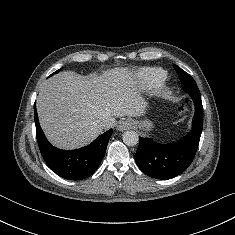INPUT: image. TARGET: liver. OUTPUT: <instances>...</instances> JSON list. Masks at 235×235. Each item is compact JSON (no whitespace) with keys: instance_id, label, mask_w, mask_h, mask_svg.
Returning a JSON list of instances; mask_svg holds the SVG:
<instances>
[{"instance_id":"liver-1","label":"liver","mask_w":235,"mask_h":235,"mask_svg":"<svg viewBox=\"0 0 235 235\" xmlns=\"http://www.w3.org/2000/svg\"><path fill=\"white\" fill-rule=\"evenodd\" d=\"M37 112L47 139L61 149H75L103 132L99 122L116 124L115 117H137L146 104L127 68H114L102 76L61 72L41 87Z\"/></svg>"}]
</instances>
